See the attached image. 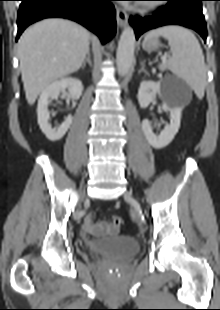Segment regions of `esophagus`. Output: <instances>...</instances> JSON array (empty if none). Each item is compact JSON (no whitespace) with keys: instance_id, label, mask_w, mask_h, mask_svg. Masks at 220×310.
<instances>
[{"instance_id":"obj_1","label":"esophagus","mask_w":220,"mask_h":310,"mask_svg":"<svg viewBox=\"0 0 220 310\" xmlns=\"http://www.w3.org/2000/svg\"><path fill=\"white\" fill-rule=\"evenodd\" d=\"M128 18H129V16L125 10H123L119 7H116V20H117V24L121 28L127 24Z\"/></svg>"}]
</instances>
